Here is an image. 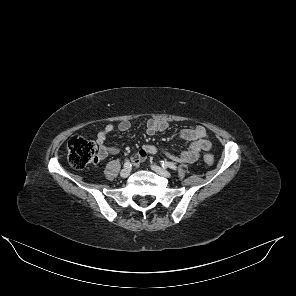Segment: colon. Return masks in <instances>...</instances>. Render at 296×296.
Returning a JSON list of instances; mask_svg holds the SVG:
<instances>
[{
    "mask_svg": "<svg viewBox=\"0 0 296 296\" xmlns=\"http://www.w3.org/2000/svg\"><path fill=\"white\" fill-rule=\"evenodd\" d=\"M68 159L71 165L77 169L86 167L97 160L96 145L94 142L79 136L72 137L68 142ZM206 165L211 166L214 158L210 154L204 156Z\"/></svg>",
    "mask_w": 296,
    "mask_h": 296,
    "instance_id": "5ec220e1",
    "label": "colon"
}]
</instances>
